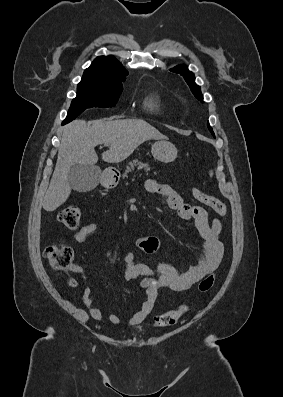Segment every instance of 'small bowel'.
I'll list each match as a JSON object with an SVG mask.
<instances>
[{"mask_svg":"<svg viewBox=\"0 0 283 397\" xmlns=\"http://www.w3.org/2000/svg\"><path fill=\"white\" fill-rule=\"evenodd\" d=\"M145 189L152 195L160 196L166 205L175 211L179 220L192 221L203 240L202 250L197 260L183 271L167 263H159L155 267H151L147 263L137 262L133 252L127 253L124 257L123 279L130 281L142 276L140 287L146 294V300L126 322L117 314L111 313L108 319L115 325L126 323L129 326H136L141 324L151 314L160 290L167 288L183 291L191 288L204 276L218 268L224 254V244L220 238L222 226L217 218L210 220L204 208L184 202L181 195L168 184L149 179L145 182ZM100 223L101 221L98 220L84 225L75 232L74 239L79 243L84 242L96 232ZM137 243L138 247L148 254L156 252L159 248V240L156 237H142L138 239ZM73 271L86 283V276L81 267L75 266ZM83 301L88 307L91 317L101 321L103 312L93 304L91 290L86 284L83 289Z\"/></svg>","mask_w":283,"mask_h":397,"instance_id":"small-bowel-1","label":"small bowel"}]
</instances>
